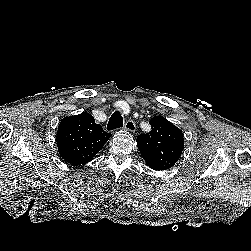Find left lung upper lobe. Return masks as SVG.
Instances as JSON below:
<instances>
[{
	"instance_id": "left-lung-upper-lobe-1",
	"label": "left lung upper lobe",
	"mask_w": 251,
	"mask_h": 251,
	"mask_svg": "<svg viewBox=\"0 0 251 251\" xmlns=\"http://www.w3.org/2000/svg\"><path fill=\"white\" fill-rule=\"evenodd\" d=\"M152 130L137 137V146L147 165L157 171L174 166L184 149L182 131L162 116H154Z\"/></svg>"
}]
</instances>
